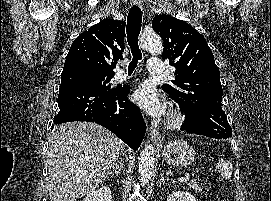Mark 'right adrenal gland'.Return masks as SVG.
I'll use <instances>...</instances> for the list:
<instances>
[{
  "label": "right adrenal gland",
  "instance_id": "2a0ac1e0",
  "mask_svg": "<svg viewBox=\"0 0 271 201\" xmlns=\"http://www.w3.org/2000/svg\"><path fill=\"white\" fill-rule=\"evenodd\" d=\"M122 168H123V164L121 163V161H118L114 166H113V169L107 174L108 175H116V176H119L121 174V171H122Z\"/></svg>",
  "mask_w": 271,
  "mask_h": 201
}]
</instances>
